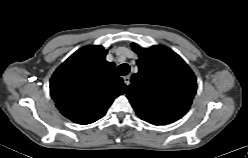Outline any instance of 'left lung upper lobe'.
Segmentation results:
<instances>
[{
    "label": "left lung upper lobe",
    "mask_w": 248,
    "mask_h": 158,
    "mask_svg": "<svg viewBox=\"0 0 248 158\" xmlns=\"http://www.w3.org/2000/svg\"><path fill=\"white\" fill-rule=\"evenodd\" d=\"M139 55V72L131 78L127 97L138 117L154 125L180 119L190 108L196 93V77L185 61L164 46L142 49L132 44Z\"/></svg>",
    "instance_id": "5c2ea615"
}]
</instances>
